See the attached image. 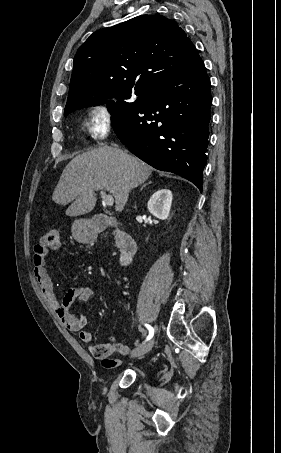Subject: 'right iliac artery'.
<instances>
[{"mask_svg": "<svg viewBox=\"0 0 281 453\" xmlns=\"http://www.w3.org/2000/svg\"><path fill=\"white\" fill-rule=\"evenodd\" d=\"M145 326L147 327V329L149 330V335L147 337L146 340H150L153 336H154V329L153 327H151V325L149 324H145Z\"/></svg>", "mask_w": 281, "mask_h": 453, "instance_id": "1", "label": "right iliac artery"}]
</instances>
